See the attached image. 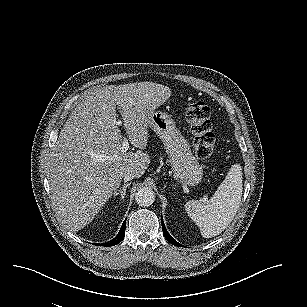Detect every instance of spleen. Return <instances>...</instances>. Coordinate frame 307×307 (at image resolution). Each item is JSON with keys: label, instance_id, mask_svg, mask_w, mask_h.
<instances>
[{"label": "spleen", "instance_id": "obj_1", "mask_svg": "<svg viewBox=\"0 0 307 307\" xmlns=\"http://www.w3.org/2000/svg\"><path fill=\"white\" fill-rule=\"evenodd\" d=\"M243 192V173L240 164L230 166L227 176L209 202L190 200L185 209L201 228L204 238L222 233L238 212Z\"/></svg>", "mask_w": 307, "mask_h": 307}]
</instances>
